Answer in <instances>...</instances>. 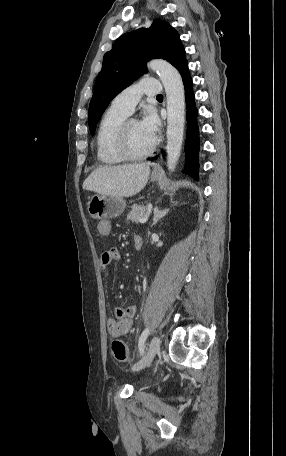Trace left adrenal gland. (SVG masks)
Here are the masks:
<instances>
[{"instance_id": "a2214340", "label": "left adrenal gland", "mask_w": 286, "mask_h": 456, "mask_svg": "<svg viewBox=\"0 0 286 456\" xmlns=\"http://www.w3.org/2000/svg\"><path fill=\"white\" fill-rule=\"evenodd\" d=\"M169 211V209H165V210H159L158 207H155L154 208V218H153V224L152 226L156 225V223L162 218L164 217L167 212Z\"/></svg>"}]
</instances>
